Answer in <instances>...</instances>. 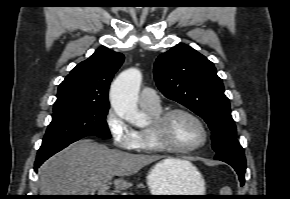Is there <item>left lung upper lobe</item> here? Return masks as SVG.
<instances>
[{
  "instance_id": "5c2ea615",
  "label": "left lung upper lobe",
  "mask_w": 290,
  "mask_h": 199,
  "mask_svg": "<svg viewBox=\"0 0 290 199\" xmlns=\"http://www.w3.org/2000/svg\"><path fill=\"white\" fill-rule=\"evenodd\" d=\"M216 73L211 61L184 44L161 54L154 66L160 91L207 122L212 130V148L217 154L243 153L229 100Z\"/></svg>"
}]
</instances>
